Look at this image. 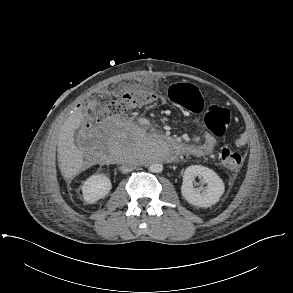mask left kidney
Returning <instances> with one entry per match:
<instances>
[{
	"instance_id": "5707ae66",
	"label": "left kidney",
	"mask_w": 293,
	"mask_h": 293,
	"mask_svg": "<svg viewBox=\"0 0 293 293\" xmlns=\"http://www.w3.org/2000/svg\"><path fill=\"white\" fill-rule=\"evenodd\" d=\"M197 176L202 177L207 183L203 192L193 187V181ZM224 190L225 185L222 179L212 169L201 165H191L186 168L181 193L188 203L199 207H209L219 201Z\"/></svg>"
}]
</instances>
